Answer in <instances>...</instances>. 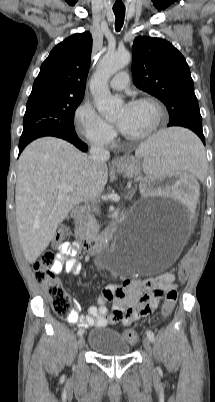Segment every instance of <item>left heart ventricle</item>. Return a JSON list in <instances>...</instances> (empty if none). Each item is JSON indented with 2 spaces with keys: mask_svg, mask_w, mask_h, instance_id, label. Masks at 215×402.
I'll list each match as a JSON object with an SVG mask.
<instances>
[{
  "mask_svg": "<svg viewBox=\"0 0 215 402\" xmlns=\"http://www.w3.org/2000/svg\"><path fill=\"white\" fill-rule=\"evenodd\" d=\"M154 109L151 105L143 103L126 105L120 108L117 120L125 118L126 127L123 131L128 135H138L146 132L154 122Z\"/></svg>",
  "mask_w": 215,
  "mask_h": 402,
  "instance_id": "obj_1",
  "label": "left heart ventricle"
}]
</instances>
